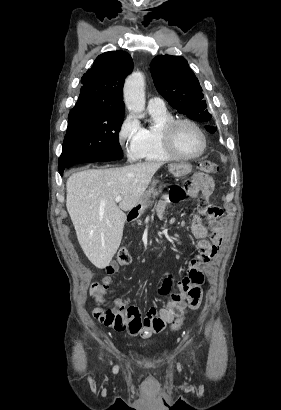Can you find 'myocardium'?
Masks as SVG:
<instances>
[{
	"mask_svg": "<svg viewBox=\"0 0 281 410\" xmlns=\"http://www.w3.org/2000/svg\"><path fill=\"white\" fill-rule=\"evenodd\" d=\"M179 124H189L200 133L203 144L201 150L197 154L185 155L179 152L175 147L173 142V132ZM161 139L167 152L175 159L180 160H194L201 157L205 153L208 145L207 135L204 129L196 121L190 118H172L169 120L161 129Z\"/></svg>",
	"mask_w": 281,
	"mask_h": 410,
	"instance_id": "obj_1",
	"label": "myocardium"
}]
</instances>
